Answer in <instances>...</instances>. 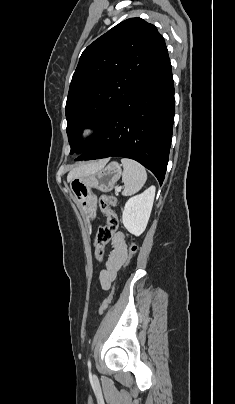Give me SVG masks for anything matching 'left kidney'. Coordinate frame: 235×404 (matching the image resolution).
<instances>
[{"mask_svg": "<svg viewBox=\"0 0 235 404\" xmlns=\"http://www.w3.org/2000/svg\"><path fill=\"white\" fill-rule=\"evenodd\" d=\"M155 197V187L131 197L125 204L122 221L124 227L133 235L140 236L146 229Z\"/></svg>", "mask_w": 235, "mask_h": 404, "instance_id": "left-kidney-1", "label": "left kidney"}]
</instances>
